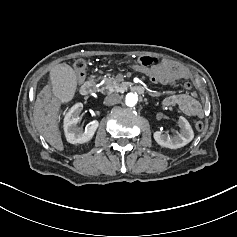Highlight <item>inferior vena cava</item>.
Segmentation results:
<instances>
[{
  "label": "inferior vena cava",
  "mask_w": 237,
  "mask_h": 237,
  "mask_svg": "<svg viewBox=\"0 0 237 237\" xmlns=\"http://www.w3.org/2000/svg\"><path fill=\"white\" fill-rule=\"evenodd\" d=\"M120 100H121V98H120L119 94H110L104 98V104L105 105H114V104L119 103Z\"/></svg>",
  "instance_id": "inferior-vena-cava-1"
}]
</instances>
